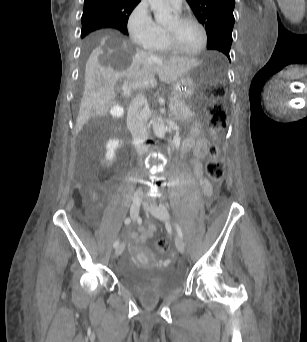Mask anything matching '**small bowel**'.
Segmentation results:
<instances>
[{
  "label": "small bowel",
  "instance_id": "obj_1",
  "mask_svg": "<svg viewBox=\"0 0 307 342\" xmlns=\"http://www.w3.org/2000/svg\"><path fill=\"white\" fill-rule=\"evenodd\" d=\"M209 134H214L213 130H209ZM210 145V139L204 134L200 124L196 123L192 126L190 135L184 140L182 149L184 151L193 150L194 159L192 161V168L195 176L198 178L206 195L211 194L209 181L203 175V169L200 160L207 154ZM155 231V226L150 224L147 227H140L139 234L131 233L132 240L138 245L142 246L146 240L152 237Z\"/></svg>",
  "mask_w": 307,
  "mask_h": 342
}]
</instances>
